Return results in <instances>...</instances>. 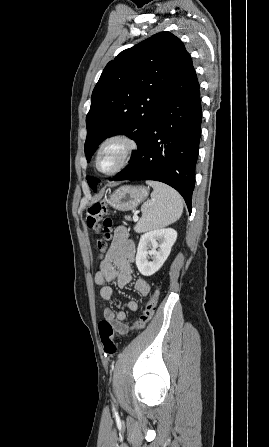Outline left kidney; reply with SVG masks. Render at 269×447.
<instances>
[{"instance_id": "left-kidney-1", "label": "left kidney", "mask_w": 269, "mask_h": 447, "mask_svg": "<svg viewBox=\"0 0 269 447\" xmlns=\"http://www.w3.org/2000/svg\"><path fill=\"white\" fill-rule=\"evenodd\" d=\"M177 237L176 229H154L141 235L136 253V265L142 275H153L167 259ZM157 247H159L157 251ZM152 255L153 261H148Z\"/></svg>"}]
</instances>
